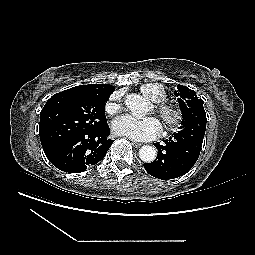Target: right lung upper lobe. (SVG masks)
<instances>
[{
	"instance_id": "right-lung-upper-lobe-1",
	"label": "right lung upper lobe",
	"mask_w": 255,
	"mask_h": 255,
	"mask_svg": "<svg viewBox=\"0 0 255 255\" xmlns=\"http://www.w3.org/2000/svg\"><path fill=\"white\" fill-rule=\"evenodd\" d=\"M115 88L109 84H89V85H80L70 89H67L63 92L69 93H99V94H108L110 95Z\"/></svg>"
}]
</instances>
